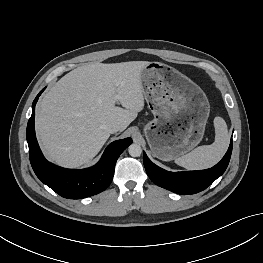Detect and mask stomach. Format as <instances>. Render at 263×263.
Here are the masks:
<instances>
[{"label": "stomach", "mask_w": 263, "mask_h": 263, "mask_svg": "<svg viewBox=\"0 0 263 263\" xmlns=\"http://www.w3.org/2000/svg\"><path fill=\"white\" fill-rule=\"evenodd\" d=\"M144 96L154 119L144 127L152 154L171 161L202 140L210 104L203 90L172 66L148 62L141 71Z\"/></svg>", "instance_id": "stomach-1"}]
</instances>
